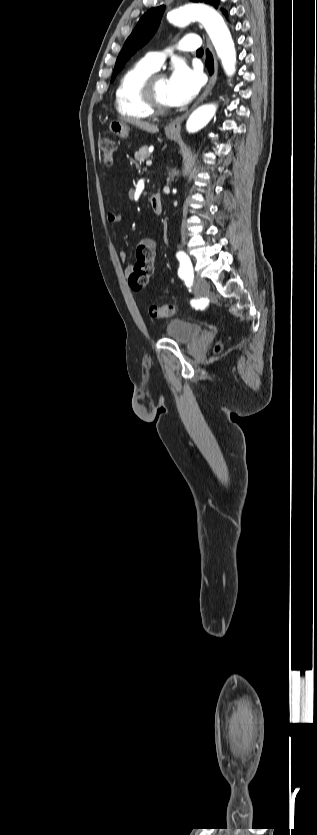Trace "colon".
<instances>
[{"label":"colon","instance_id":"1","mask_svg":"<svg viewBox=\"0 0 317 835\" xmlns=\"http://www.w3.org/2000/svg\"><path fill=\"white\" fill-rule=\"evenodd\" d=\"M115 150L116 144L114 141L110 139L102 140L100 144V154L105 163L109 164L112 162ZM153 272V262L145 261L144 259L139 258L128 278L131 289L134 291L144 289L147 286ZM175 311L176 307L173 304H155L151 305L148 310L149 315L153 318H168L173 316Z\"/></svg>","mask_w":317,"mask_h":835}]
</instances>
